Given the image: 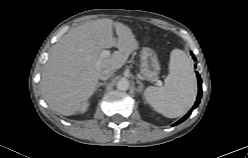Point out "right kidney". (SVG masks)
<instances>
[{"label": "right kidney", "mask_w": 248, "mask_h": 158, "mask_svg": "<svg viewBox=\"0 0 248 158\" xmlns=\"http://www.w3.org/2000/svg\"><path fill=\"white\" fill-rule=\"evenodd\" d=\"M88 107H89V102H84V103L81 105L79 111H80L81 113H84V112H86V110L88 109Z\"/></svg>", "instance_id": "1"}]
</instances>
